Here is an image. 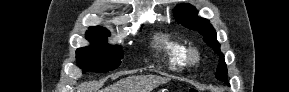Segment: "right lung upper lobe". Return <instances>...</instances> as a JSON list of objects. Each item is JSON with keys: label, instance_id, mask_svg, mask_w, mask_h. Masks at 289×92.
Returning a JSON list of instances; mask_svg holds the SVG:
<instances>
[{"label": "right lung upper lobe", "instance_id": "right-lung-upper-lobe-1", "mask_svg": "<svg viewBox=\"0 0 289 92\" xmlns=\"http://www.w3.org/2000/svg\"><path fill=\"white\" fill-rule=\"evenodd\" d=\"M89 30L108 32L105 28L101 26H92V27H89Z\"/></svg>", "mask_w": 289, "mask_h": 92}]
</instances>
